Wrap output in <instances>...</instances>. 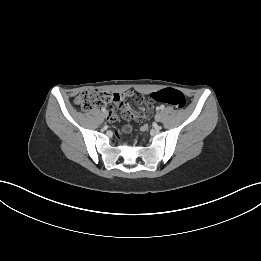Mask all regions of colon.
I'll return each mask as SVG.
<instances>
[{
    "label": "colon",
    "instance_id": "colon-1",
    "mask_svg": "<svg viewBox=\"0 0 261 261\" xmlns=\"http://www.w3.org/2000/svg\"><path fill=\"white\" fill-rule=\"evenodd\" d=\"M155 102L167 103L175 108L182 109L186 104L185 96L179 90L167 88L151 94ZM76 104L82 110H91L100 105L110 104L113 108L111 117L116 118L119 112H124V102L117 93H109L94 88L80 92L75 98ZM130 131V126L123 128L124 133Z\"/></svg>",
    "mask_w": 261,
    "mask_h": 261
}]
</instances>
